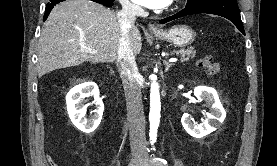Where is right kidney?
Returning a JSON list of instances; mask_svg holds the SVG:
<instances>
[{"label": "right kidney", "instance_id": "1", "mask_svg": "<svg viewBox=\"0 0 277 166\" xmlns=\"http://www.w3.org/2000/svg\"><path fill=\"white\" fill-rule=\"evenodd\" d=\"M86 98H94V100L84 105ZM66 103L71 122L80 131L91 133L98 127L102 119L104 104L99 97V89L95 83L87 82L72 88L66 96ZM91 104L95 105L92 111L94 115L91 119H86V109Z\"/></svg>", "mask_w": 277, "mask_h": 166}]
</instances>
